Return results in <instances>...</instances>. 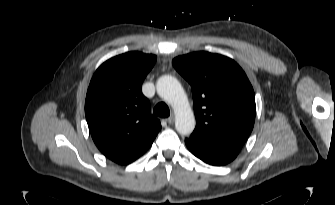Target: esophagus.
<instances>
[{"mask_svg":"<svg viewBox=\"0 0 335 205\" xmlns=\"http://www.w3.org/2000/svg\"><path fill=\"white\" fill-rule=\"evenodd\" d=\"M166 121H167V123L168 124H173L174 123V116H170V117H168L167 119H166Z\"/></svg>","mask_w":335,"mask_h":205,"instance_id":"esophagus-1","label":"esophagus"}]
</instances>
